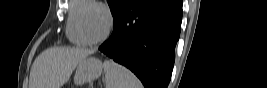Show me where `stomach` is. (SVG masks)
Returning a JSON list of instances; mask_svg holds the SVG:
<instances>
[{
	"label": "stomach",
	"instance_id": "obj_1",
	"mask_svg": "<svg viewBox=\"0 0 267 88\" xmlns=\"http://www.w3.org/2000/svg\"><path fill=\"white\" fill-rule=\"evenodd\" d=\"M103 68V63L95 57H87L81 60L76 69L74 83L76 85H83L97 79L100 77Z\"/></svg>",
	"mask_w": 267,
	"mask_h": 88
}]
</instances>
